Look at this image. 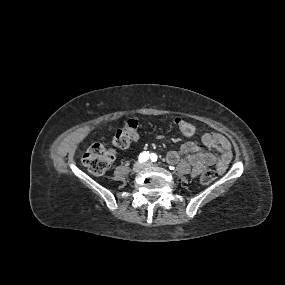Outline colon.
<instances>
[{
    "label": "colon",
    "mask_w": 285,
    "mask_h": 285,
    "mask_svg": "<svg viewBox=\"0 0 285 285\" xmlns=\"http://www.w3.org/2000/svg\"><path fill=\"white\" fill-rule=\"evenodd\" d=\"M179 131L185 137H192L196 133V126L188 120L181 117L175 119ZM138 122L135 119L128 120L124 126L119 129L114 137L113 144L121 149L127 148L132 141L138 138ZM114 160L113 151L103 143L91 145L83 156V165L94 175L102 176L111 167ZM218 177L214 170H207L202 173L200 181L202 184H210Z\"/></svg>",
    "instance_id": "obj_1"
}]
</instances>
